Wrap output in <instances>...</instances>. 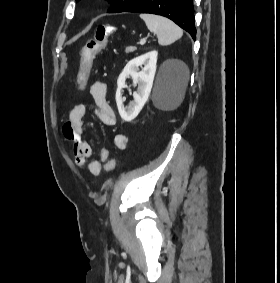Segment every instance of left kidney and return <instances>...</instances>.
<instances>
[{
  "label": "left kidney",
  "mask_w": 280,
  "mask_h": 283,
  "mask_svg": "<svg viewBox=\"0 0 280 283\" xmlns=\"http://www.w3.org/2000/svg\"><path fill=\"white\" fill-rule=\"evenodd\" d=\"M157 51H151L129 61L117 79L116 103L121 118L130 122L140 113L150 95L156 73ZM144 65L142 71L139 66ZM131 77L133 85H138L137 92L133 93L134 101L125 108L122 99V90L126 88L127 77Z\"/></svg>",
  "instance_id": "left-kidney-1"
}]
</instances>
